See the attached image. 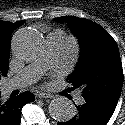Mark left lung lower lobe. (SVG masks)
<instances>
[{
  "mask_svg": "<svg viewBox=\"0 0 125 125\" xmlns=\"http://www.w3.org/2000/svg\"><path fill=\"white\" fill-rule=\"evenodd\" d=\"M74 105L77 108L75 116L66 122H58V125H106L117 103L85 101L82 105Z\"/></svg>",
  "mask_w": 125,
  "mask_h": 125,
  "instance_id": "0a47b994",
  "label": "left lung lower lobe"
}]
</instances>
